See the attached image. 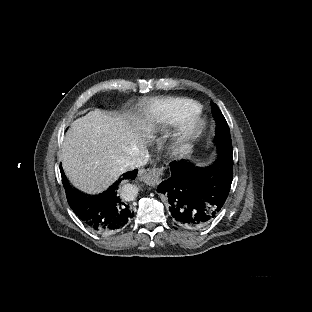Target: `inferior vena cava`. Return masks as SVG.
<instances>
[{
	"label": "inferior vena cava",
	"mask_w": 312,
	"mask_h": 312,
	"mask_svg": "<svg viewBox=\"0 0 312 312\" xmlns=\"http://www.w3.org/2000/svg\"><path fill=\"white\" fill-rule=\"evenodd\" d=\"M147 155H148V151H146V155L144 156L134 157L131 161L126 162L125 168L127 170H134L135 168L144 166L147 163V159H146Z\"/></svg>",
	"instance_id": "obj_1"
}]
</instances>
